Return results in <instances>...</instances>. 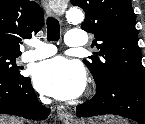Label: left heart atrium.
I'll return each mask as SVG.
<instances>
[{
    "instance_id": "1",
    "label": "left heart atrium",
    "mask_w": 145,
    "mask_h": 124,
    "mask_svg": "<svg viewBox=\"0 0 145 124\" xmlns=\"http://www.w3.org/2000/svg\"><path fill=\"white\" fill-rule=\"evenodd\" d=\"M33 81L40 92L59 100H69L83 92L85 72L79 63L57 56L34 68Z\"/></svg>"
}]
</instances>
